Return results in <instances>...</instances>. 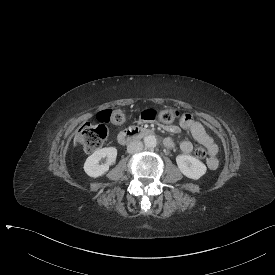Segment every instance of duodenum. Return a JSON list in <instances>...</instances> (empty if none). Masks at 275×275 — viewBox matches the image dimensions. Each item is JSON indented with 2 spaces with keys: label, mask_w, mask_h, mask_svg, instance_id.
<instances>
[{
  "label": "duodenum",
  "mask_w": 275,
  "mask_h": 275,
  "mask_svg": "<svg viewBox=\"0 0 275 275\" xmlns=\"http://www.w3.org/2000/svg\"><path fill=\"white\" fill-rule=\"evenodd\" d=\"M151 134H153V131L148 128H129L119 133L118 142L122 145H126Z\"/></svg>",
  "instance_id": "obj_1"
}]
</instances>
